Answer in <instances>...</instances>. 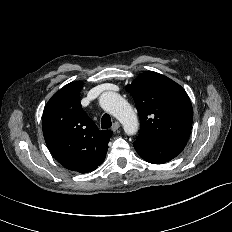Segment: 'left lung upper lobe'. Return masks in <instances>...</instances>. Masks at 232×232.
<instances>
[{"label": "left lung upper lobe", "mask_w": 232, "mask_h": 232, "mask_svg": "<svg viewBox=\"0 0 232 232\" xmlns=\"http://www.w3.org/2000/svg\"><path fill=\"white\" fill-rule=\"evenodd\" d=\"M126 90L132 95L140 117L136 140L187 141L193 109L185 90L173 80L153 71L139 75Z\"/></svg>", "instance_id": "obj_1"}]
</instances>
